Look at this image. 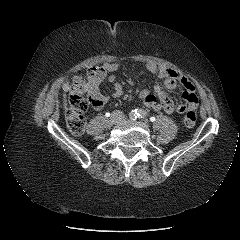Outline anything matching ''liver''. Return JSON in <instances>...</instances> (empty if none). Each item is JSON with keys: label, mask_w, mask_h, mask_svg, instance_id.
<instances>
[{"label": "liver", "mask_w": 240, "mask_h": 240, "mask_svg": "<svg viewBox=\"0 0 240 240\" xmlns=\"http://www.w3.org/2000/svg\"><path fill=\"white\" fill-rule=\"evenodd\" d=\"M63 90L65 91V92H68L69 90H70V87H69V82H66V83H64V85H63ZM63 97H64V100H63V106H64V109H65V111L67 110V104H66V94H64L63 95Z\"/></svg>", "instance_id": "1"}]
</instances>
